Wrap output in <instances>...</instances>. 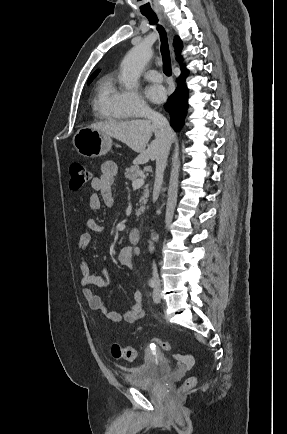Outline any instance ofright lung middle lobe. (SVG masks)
<instances>
[{
    "mask_svg": "<svg viewBox=\"0 0 287 434\" xmlns=\"http://www.w3.org/2000/svg\"><path fill=\"white\" fill-rule=\"evenodd\" d=\"M92 81H89L87 84H90Z\"/></svg>",
    "mask_w": 287,
    "mask_h": 434,
    "instance_id": "obj_1",
    "label": "right lung middle lobe"
}]
</instances>
